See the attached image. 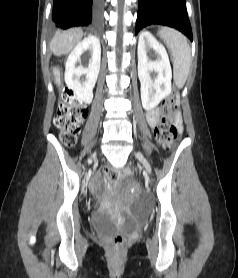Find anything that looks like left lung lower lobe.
I'll use <instances>...</instances> for the list:
<instances>
[{"label":"left lung lower lobe","mask_w":238,"mask_h":278,"mask_svg":"<svg viewBox=\"0 0 238 278\" xmlns=\"http://www.w3.org/2000/svg\"><path fill=\"white\" fill-rule=\"evenodd\" d=\"M151 24L173 27L192 41V30L186 10V0H139L136 34Z\"/></svg>","instance_id":"obj_1"}]
</instances>
